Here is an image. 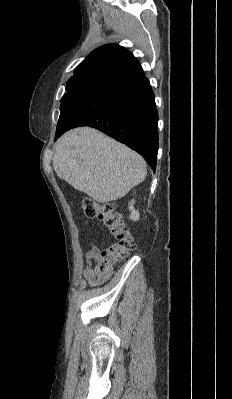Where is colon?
<instances>
[{"label": "colon", "mask_w": 232, "mask_h": 399, "mask_svg": "<svg viewBox=\"0 0 232 399\" xmlns=\"http://www.w3.org/2000/svg\"><path fill=\"white\" fill-rule=\"evenodd\" d=\"M114 208V200H109V203H104V205L103 201H98V211L97 203H94V199H89V194H84V199L81 200V220L85 221L98 216L102 218V224H106V231L112 233V247H108V251L103 252L101 247H96V263L98 264L96 278H101L102 283L108 282V277L104 276V273H110V269H113V259H128L129 250L133 251L137 248V241L131 237V224L121 222V217H114Z\"/></svg>", "instance_id": "colon-1"}]
</instances>
